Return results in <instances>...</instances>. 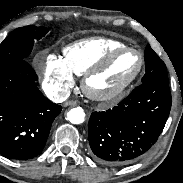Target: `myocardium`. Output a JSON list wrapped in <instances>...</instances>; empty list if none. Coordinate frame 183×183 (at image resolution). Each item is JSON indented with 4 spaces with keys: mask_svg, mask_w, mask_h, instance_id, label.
Masks as SVG:
<instances>
[{
    "mask_svg": "<svg viewBox=\"0 0 183 183\" xmlns=\"http://www.w3.org/2000/svg\"><path fill=\"white\" fill-rule=\"evenodd\" d=\"M135 52L140 59V64L139 68L136 71V73L133 75V77L125 83L123 86L120 88L109 92V93H98L93 91L89 87V81L91 78L94 76L98 75L99 73L105 71L113 62L116 56L123 52ZM145 66V57L144 54L142 53L141 50L135 48V47H130V46H121L112 49L109 51L102 59H100L96 64L91 66L83 75L81 79V88L83 93L90 98L91 100L98 101V102H108V101H114L122 98L136 83V81L139 79L141 76L143 69Z\"/></svg>",
    "mask_w": 183,
    "mask_h": 183,
    "instance_id": "f54148a6",
    "label": "myocardium"
}]
</instances>
